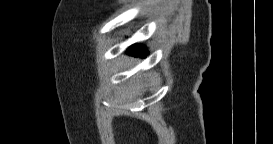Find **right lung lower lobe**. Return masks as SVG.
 I'll use <instances>...</instances> for the list:
<instances>
[{"mask_svg":"<svg viewBox=\"0 0 273 144\" xmlns=\"http://www.w3.org/2000/svg\"><path fill=\"white\" fill-rule=\"evenodd\" d=\"M128 53L131 55H134V56L145 57L147 55L148 51L145 49L144 46L135 45L130 48Z\"/></svg>","mask_w":273,"mask_h":144,"instance_id":"98d812e1","label":"right lung lower lobe"}]
</instances>
